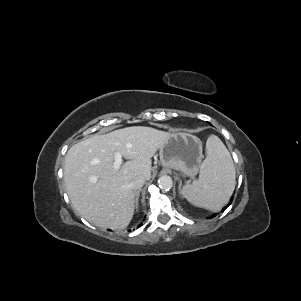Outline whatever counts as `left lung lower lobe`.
<instances>
[{
  "label": "left lung lower lobe",
  "instance_id": "0a47b994",
  "mask_svg": "<svg viewBox=\"0 0 301 301\" xmlns=\"http://www.w3.org/2000/svg\"><path fill=\"white\" fill-rule=\"evenodd\" d=\"M231 204V202L225 207V209Z\"/></svg>",
  "mask_w": 301,
  "mask_h": 301
}]
</instances>
